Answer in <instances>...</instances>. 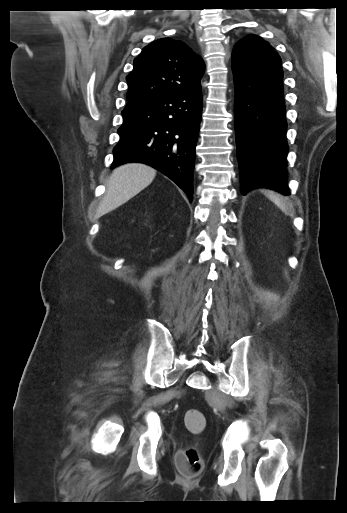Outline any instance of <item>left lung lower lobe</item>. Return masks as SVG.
I'll use <instances>...</instances> for the list:
<instances>
[{"mask_svg": "<svg viewBox=\"0 0 347 513\" xmlns=\"http://www.w3.org/2000/svg\"><path fill=\"white\" fill-rule=\"evenodd\" d=\"M241 192L267 187L289 195L283 72L232 64Z\"/></svg>", "mask_w": 347, "mask_h": 513, "instance_id": "left-lung-lower-lobe-1", "label": "left lung lower lobe"}]
</instances>
